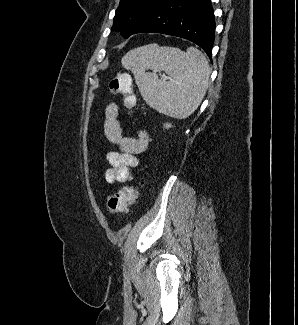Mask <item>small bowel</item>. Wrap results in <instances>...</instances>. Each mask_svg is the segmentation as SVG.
<instances>
[{
    "instance_id": "c3829d8e",
    "label": "small bowel",
    "mask_w": 298,
    "mask_h": 325,
    "mask_svg": "<svg viewBox=\"0 0 298 325\" xmlns=\"http://www.w3.org/2000/svg\"><path fill=\"white\" fill-rule=\"evenodd\" d=\"M118 115V105L108 104L105 109L104 133L111 143L120 148V151H110L106 156L110 168L105 173V180L109 184L125 183L133 179L131 169L138 166L137 156L146 150L149 142L148 133L144 129L136 137L124 136Z\"/></svg>"
}]
</instances>
